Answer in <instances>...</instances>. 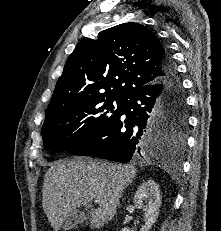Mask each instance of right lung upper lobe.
Instances as JSON below:
<instances>
[{
	"label": "right lung upper lobe",
	"instance_id": "1",
	"mask_svg": "<svg viewBox=\"0 0 221 231\" xmlns=\"http://www.w3.org/2000/svg\"><path fill=\"white\" fill-rule=\"evenodd\" d=\"M165 48L147 27L123 23L79 42L69 56L45 118L68 102L94 96L125 99L161 82Z\"/></svg>",
	"mask_w": 221,
	"mask_h": 231
}]
</instances>
